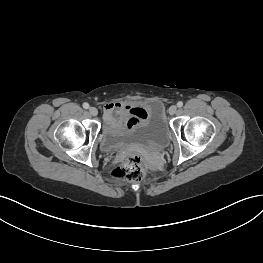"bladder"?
<instances>
[{
	"label": "bladder",
	"instance_id": "1",
	"mask_svg": "<svg viewBox=\"0 0 263 263\" xmlns=\"http://www.w3.org/2000/svg\"><path fill=\"white\" fill-rule=\"evenodd\" d=\"M144 113L133 120L131 112L123 109L107 120L103 128L102 141L109 148H116L127 142L147 146H162L168 139V126L159 102L140 105Z\"/></svg>",
	"mask_w": 263,
	"mask_h": 263
}]
</instances>
